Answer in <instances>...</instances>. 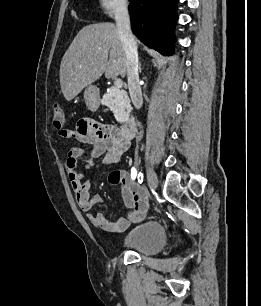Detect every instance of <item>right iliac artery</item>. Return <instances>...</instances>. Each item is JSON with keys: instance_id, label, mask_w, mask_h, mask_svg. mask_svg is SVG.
<instances>
[{"instance_id": "obj_1", "label": "right iliac artery", "mask_w": 261, "mask_h": 306, "mask_svg": "<svg viewBox=\"0 0 261 306\" xmlns=\"http://www.w3.org/2000/svg\"><path fill=\"white\" fill-rule=\"evenodd\" d=\"M136 175H137L136 169L132 168L131 169V177H132V179H135ZM138 182L140 184L143 182V174L141 172L138 174Z\"/></svg>"}]
</instances>
